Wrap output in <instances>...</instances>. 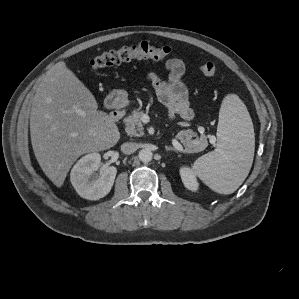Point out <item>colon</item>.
<instances>
[{
	"label": "colon",
	"mask_w": 299,
	"mask_h": 299,
	"mask_svg": "<svg viewBox=\"0 0 299 299\" xmlns=\"http://www.w3.org/2000/svg\"><path fill=\"white\" fill-rule=\"evenodd\" d=\"M169 47H158L148 41H142L135 45L123 46L117 50L104 52L90 61L92 69H101L113 65L127 62L137 58H149L153 60H164L170 55ZM200 71L207 77H212L217 72V67L213 62H205L201 65Z\"/></svg>",
	"instance_id": "obj_1"
}]
</instances>
